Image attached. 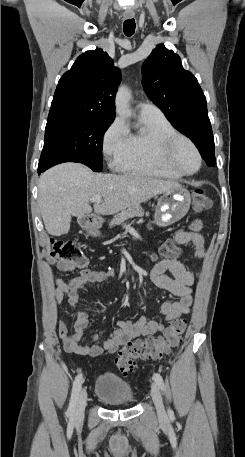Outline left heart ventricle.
I'll return each mask as SVG.
<instances>
[{"instance_id":"1","label":"left heart ventricle","mask_w":245,"mask_h":457,"mask_svg":"<svg viewBox=\"0 0 245 457\" xmlns=\"http://www.w3.org/2000/svg\"><path fill=\"white\" fill-rule=\"evenodd\" d=\"M164 157L177 168L184 171H191L196 167V158L189 149L186 142H179L177 146L166 153Z\"/></svg>"}]
</instances>
